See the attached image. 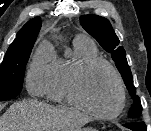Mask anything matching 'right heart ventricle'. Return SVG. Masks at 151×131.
Wrapping results in <instances>:
<instances>
[{
    "instance_id": "obj_1",
    "label": "right heart ventricle",
    "mask_w": 151,
    "mask_h": 131,
    "mask_svg": "<svg viewBox=\"0 0 151 131\" xmlns=\"http://www.w3.org/2000/svg\"><path fill=\"white\" fill-rule=\"evenodd\" d=\"M99 57L96 45L89 39L77 37L73 41V55L68 59H56L45 95L52 101L74 104L67 92L68 81L72 74L87 60Z\"/></svg>"
}]
</instances>
